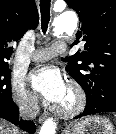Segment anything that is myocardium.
<instances>
[{
  "label": "myocardium",
  "instance_id": "1",
  "mask_svg": "<svg viewBox=\"0 0 116 134\" xmlns=\"http://www.w3.org/2000/svg\"><path fill=\"white\" fill-rule=\"evenodd\" d=\"M71 96V103L68 106L58 105L55 111L62 117L71 118L81 113L86 106V95L83 89L77 84H71L68 88Z\"/></svg>",
  "mask_w": 116,
  "mask_h": 134
}]
</instances>
